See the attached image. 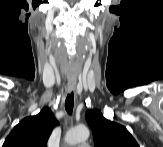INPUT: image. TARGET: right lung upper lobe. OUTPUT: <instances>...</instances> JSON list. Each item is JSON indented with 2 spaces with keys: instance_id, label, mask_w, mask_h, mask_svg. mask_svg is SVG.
Instances as JSON below:
<instances>
[{
  "instance_id": "1",
  "label": "right lung upper lobe",
  "mask_w": 163,
  "mask_h": 147,
  "mask_svg": "<svg viewBox=\"0 0 163 147\" xmlns=\"http://www.w3.org/2000/svg\"><path fill=\"white\" fill-rule=\"evenodd\" d=\"M56 125L58 121L52 111L45 107L39 114L21 120L5 139L3 147H47Z\"/></svg>"
}]
</instances>
